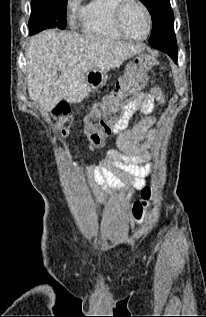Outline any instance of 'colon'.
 Listing matches in <instances>:
<instances>
[{"label": "colon", "mask_w": 206, "mask_h": 317, "mask_svg": "<svg viewBox=\"0 0 206 317\" xmlns=\"http://www.w3.org/2000/svg\"><path fill=\"white\" fill-rule=\"evenodd\" d=\"M157 60L153 56H144L135 64L129 66L125 74L118 80L114 90L95 105L86 116L84 130L91 148H99L105 138L111 134L113 128L124 115L128 104L138 95L148 81V71L156 66ZM58 128L66 135L71 125L69 108L60 104L54 109ZM151 191L145 188L142 191V200L133 205L135 219L141 220L144 208L150 199Z\"/></svg>", "instance_id": "obj_1"}]
</instances>
